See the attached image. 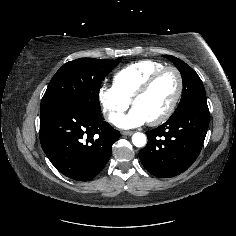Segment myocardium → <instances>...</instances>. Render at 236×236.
<instances>
[{
    "label": "myocardium",
    "mask_w": 236,
    "mask_h": 236,
    "mask_svg": "<svg viewBox=\"0 0 236 236\" xmlns=\"http://www.w3.org/2000/svg\"><path fill=\"white\" fill-rule=\"evenodd\" d=\"M166 72H173L175 74L176 79H177V90H176V93L172 102L170 103L168 108L165 110V112L162 113L159 117L148 121V123L151 126H157L167 121L173 115V113L175 112L178 106V103L181 99L183 88H184L183 77L179 69L174 66H166L160 69L159 71L154 73L145 81V83L135 92V94L133 95L131 99V104L134 106L135 102L140 97L145 95L152 88V86L157 82V80Z\"/></svg>",
    "instance_id": "f54148a6"
}]
</instances>
